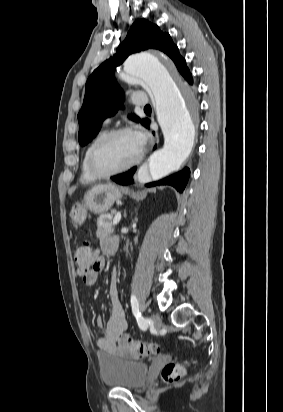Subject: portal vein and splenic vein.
Here are the masks:
<instances>
[{
    "instance_id": "1",
    "label": "portal vein and splenic vein",
    "mask_w": 283,
    "mask_h": 412,
    "mask_svg": "<svg viewBox=\"0 0 283 412\" xmlns=\"http://www.w3.org/2000/svg\"><path fill=\"white\" fill-rule=\"evenodd\" d=\"M120 219H121V214H120V213H117V214L114 216L113 225H117V224L119 223Z\"/></svg>"
}]
</instances>
